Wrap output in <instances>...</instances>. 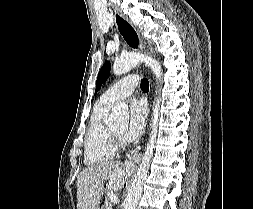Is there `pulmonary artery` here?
Returning <instances> with one entry per match:
<instances>
[{
	"label": "pulmonary artery",
	"mask_w": 253,
	"mask_h": 209,
	"mask_svg": "<svg viewBox=\"0 0 253 209\" xmlns=\"http://www.w3.org/2000/svg\"><path fill=\"white\" fill-rule=\"evenodd\" d=\"M138 81L137 75H128L110 86L100 99L107 104H113L124 99L133 93Z\"/></svg>",
	"instance_id": "e3ab8cb5"
}]
</instances>
